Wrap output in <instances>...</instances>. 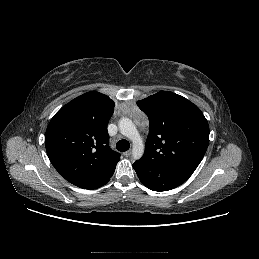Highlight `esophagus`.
<instances>
[{
    "label": "esophagus",
    "instance_id": "obj_1",
    "mask_svg": "<svg viewBox=\"0 0 259 259\" xmlns=\"http://www.w3.org/2000/svg\"><path fill=\"white\" fill-rule=\"evenodd\" d=\"M131 153H132V151L128 150V151L124 152L123 154H124V156L129 157L131 155Z\"/></svg>",
    "mask_w": 259,
    "mask_h": 259
}]
</instances>
